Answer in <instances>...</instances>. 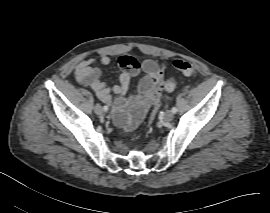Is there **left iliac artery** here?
Returning <instances> with one entry per match:
<instances>
[{"instance_id": "left-iliac-artery-1", "label": "left iliac artery", "mask_w": 270, "mask_h": 213, "mask_svg": "<svg viewBox=\"0 0 270 213\" xmlns=\"http://www.w3.org/2000/svg\"><path fill=\"white\" fill-rule=\"evenodd\" d=\"M171 111L175 114L178 111V109L176 107H172Z\"/></svg>"}]
</instances>
